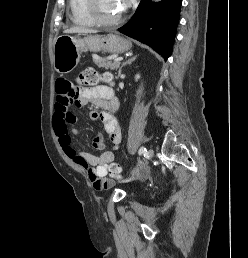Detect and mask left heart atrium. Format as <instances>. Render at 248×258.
Instances as JSON below:
<instances>
[{
	"mask_svg": "<svg viewBox=\"0 0 248 258\" xmlns=\"http://www.w3.org/2000/svg\"><path fill=\"white\" fill-rule=\"evenodd\" d=\"M121 10L126 9L132 2V0H117Z\"/></svg>",
	"mask_w": 248,
	"mask_h": 258,
	"instance_id": "obj_1",
	"label": "left heart atrium"
}]
</instances>
